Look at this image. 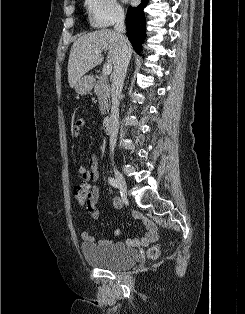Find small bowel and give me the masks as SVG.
<instances>
[{
    "label": "small bowel",
    "instance_id": "1",
    "mask_svg": "<svg viewBox=\"0 0 245 314\" xmlns=\"http://www.w3.org/2000/svg\"><path fill=\"white\" fill-rule=\"evenodd\" d=\"M84 125V121L82 119H78L74 125L73 133L74 135H79L81 127ZM78 173L81 177V180L83 182H95L98 179V158L95 154H90L87 159V166L85 165H79L78 167ZM92 196L87 203V210L90 214V216L93 219H99L100 217V211L97 208L96 204L99 198V188L97 185H93L91 187ZM115 208L121 207V202L119 200H115L114 202ZM133 217L136 219H142L145 223V226L147 228V232L145 235H143L139 239H132L129 238L126 240V244L129 246H147L153 242H155L158 239V232H157V226L152 221L146 219L141 213L135 212L133 214ZM120 231L117 229L115 230V235H119ZM82 239L85 242L88 243H95L96 238L89 233L88 231H83L81 234ZM112 242L110 240H103L100 241V244Z\"/></svg>",
    "mask_w": 245,
    "mask_h": 314
}]
</instances>
